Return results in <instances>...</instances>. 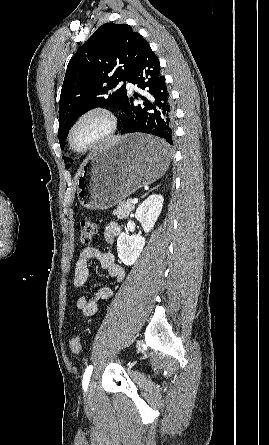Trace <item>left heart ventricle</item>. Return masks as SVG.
<instances>
[{
    "instance_id": "obj_1",
    "label": "left heart ventricle",
    "mask_w": 269,
    "mask_h": 445,
    "mask_svg": "<svg viewBox=\"0 0 269 445\" xmlns=\"http://www.w3.org/2000/svg\"><path fill=\"white\" fill-rule=\"evenodd\" d=\"M103 128V123L100 119H90L86 121L78 129L75 135V143L78 146L86 144L88 141L97 136Z\"/></svg>"
}]
</instances>
